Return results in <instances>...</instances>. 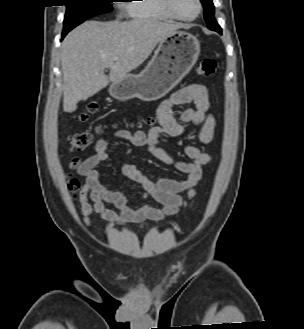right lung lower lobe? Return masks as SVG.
I'll use <instances>...</instances> for the list:
<instances>
[{
	"label": "right lung lower lobe",
	"instance_id": "obj_1",
	"mask_svg": "<svg viewBox=\"0 0 304 329\" xmlns=\"http://www.w3.org/2000/svg\"><path fill=\"white\" fill-rule=\"evenodd\" d=\"M64 36H65V35H64V34H62V38H64Z\"/></svg>",
	"mask_w": 304,
	"mask_h": 329
}]
</instances>
